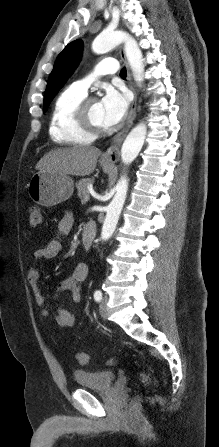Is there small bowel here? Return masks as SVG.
Instances as JSON below:
<instances>
[{
    "instance_id": "c3829d8e",
    "label": "small bowel",
    "mask_w": 219,
    "mask_h": 447,
    "mask_svg": "<svg viewBox=\"0 0 219 447\" xmlns=\"http://www.w3.org/2000/svg\"><path fill=\"white\" fill-rule=\"evenodd\" d=\"M74 217L72 214H65L58 223V231L61 235H67L73 228ZM63 250V244L59 240H51L46 246L35 250L34 258L36 260H48L57 257ZM88 276V266L85 263L76 264L69 275L61 282L60 291L67 292L73 302L81 300L80 284L86 280ZM40 273L38 268L30 269L27 274V283L31 288L34 299L39 306H43L45 298L39 286ZM43 317H49L50 311L43 308L41 311ZM57 325L66 327L75 323V316L67 309L60 308L55 319Z\"/></svg>"
}]
</instances>
